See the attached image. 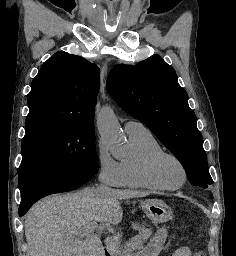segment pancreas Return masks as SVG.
<instances>
[{"label":"pancreas","mask_w":236,"mask_h":256,"mask_svg":"<svg viewBox=\"0 0 236 256\" xmlns=\"http://www.w3.org/2000/svg\"><path fill=\"white\" fill-rule=\"evenodd\" d=\"M136 232H139L137 238H129V242H127V239H124V242L121 243V246L125 247L126 250H135V247L143 248V244L147 242L152 234L149 228L145 227L144 224H139V226L136 227Z\"/></svg>","instance_id":"1"}]
</instances>
